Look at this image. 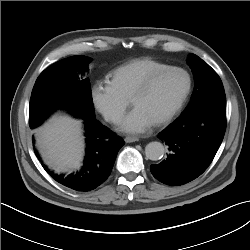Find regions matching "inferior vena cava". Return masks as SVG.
I'll use <instances>...</instances> for the list:
<instances>
[{
	"label": "inferior vena cava",
	"instance_id": "inferior-vena-cava-1",
	"mask_svg": "<svg viewBox=\"0 0 250 250\" xmlns=\"http://www.w3.org/2000/svg\"><path fill=\"white\" fill-rule=\"evenodd\" d=\"M119 119H120L119 116H117V115L113 116V120H114L115 122L119 121Z\"/></svg>",
	"mask_w": 250,
	"mask_h": 250
}]
</instances>
